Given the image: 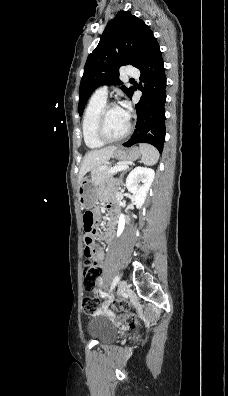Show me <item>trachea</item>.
Listing matches in <instances>:
<instances>
[{
	"mask_svg": "<svg viewBox=\"0 0 228 396\" xmlns=\"http://www.w3.org/2000/svg\"><path fill=\"white\" fill-rule=\"evenodd\" d=\"M130 81H134V79H130Z\"/></svg>",
	"mask_w": 228,
	"mask_h": 396,
	"instance_id": "3493384b",
	"label": "trachea"
}]
</instances>
